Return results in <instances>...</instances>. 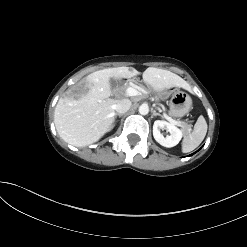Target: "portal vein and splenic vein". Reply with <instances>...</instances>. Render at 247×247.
I'll return each instance as SVG.
<instances>
[{"instance_id": "obj_1", "label": "portal vein and splenic vein", "mask_w": 247, "mask_h": 247, "mask_svg": "<svg viewBox=\"0 0 247 247\" xmlns=\"http://www.w3.org/2000/svg\"><path fill=\"white\" fill-rule=\"evenodd\" d=\"M139 91L136 89V88H134V87H129V88H127V90H126V94H127V96H137V95H139ZM164 115V118L166 119V120H168L169 122H171V123H173V124H175V125H179V123L177 122V121H175V120H173L171 117H169L168 115H166V114H163Z\"/></svg>"}]
</instances>
